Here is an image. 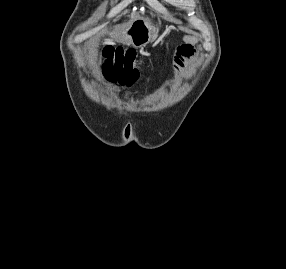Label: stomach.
Returning <instances> with one entry per match:
<instances>
[{
    "label": "stomach",
    "mask_w": 286,
    "mask_h": 269,
    "mask_svg": "<svg viewBox=\"0 0 286 269\" xmlns=\"http://www.w3.org/2000/svg\"><path fill=\"white\" fill-rule=\"evenodd\" d=\"M157 35L158 27L146 20H136L114 39L117 42L140 48L153 43Z\"/></svg>",
    "instance_id": "0dacf381"
}]
</instances>
